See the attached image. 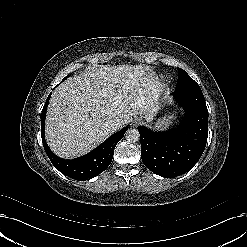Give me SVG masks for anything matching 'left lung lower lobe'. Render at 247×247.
I'll use <instances>...</instances> for the list:
<instances>
[{"label":"left lung lower lobe","mask_w":247,"mask_h":247,"mask_svg":"<svg viewBox=\"0 0 247 247\" xmlns=\"http://www.w3.org/2000/svg\"><path fill=\"white\" fill-rule=\"evenodd\" d=\"M186 115L171 131L153 132L138 127L143 164L153 173L174 178L188 172L200 159L208 137V110L198 86L172 93Z\"/></svg>","instance_id":"left-lung-lower-lobe-1"}]
</instances>
